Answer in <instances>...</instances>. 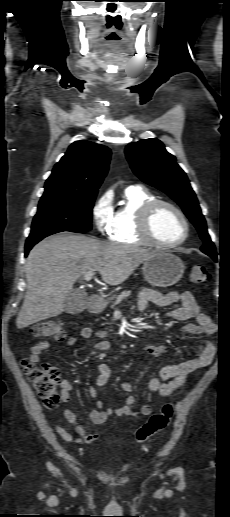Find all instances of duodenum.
Wrapping results in <instances>:
<instances>
[{
    "mask_svg": "<svg viewBox=\"0 0 230 517\" xmlns=\"http://www.w3.org/2000/svg\"><path fill=\"white\" fill-rule=\"evenodd\" d=\"M103 309V301L98 295H91L88 299V310L90 313H100Z\"/></svg>",
    "mask_w": 230,
    "mask_h": 517,
    "instance_id": "obj_1",
    "label": "duodenum"
}]
</instances>
